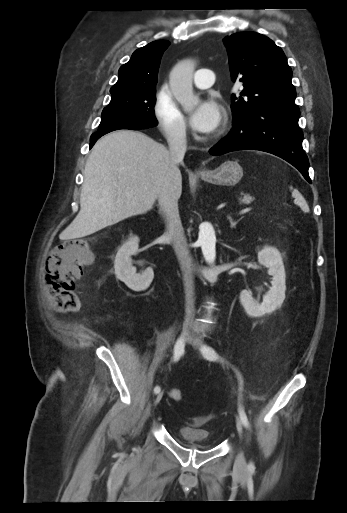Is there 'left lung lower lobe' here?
Instances as JSON below:
<instances>
[{"label": "left lung lower lobe", "mask_w": 347, "mask_h": 513, "mask_svg": "<svg viewBox=\"0 0 347 513\" xmlns=\"http://www.w3.org/2000/svg\"><path fill=\"white\" fill-rule=\"evenodd\" d=\"M296 105H267L233 119L230 133L216 144L214 156L227 152L254 149L274 154L295 166L311 183L309 162L302 148L303 133L299 128Z\"/></svg>", "instance_id": "left-lung-lower-lobe-1"}]
</instances>
